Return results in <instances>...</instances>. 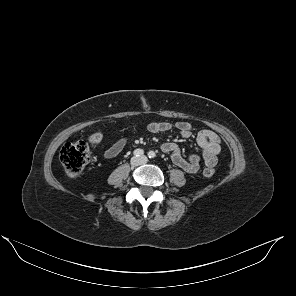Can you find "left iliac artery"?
<instances>
[{
  "mask_svg": "<svg viewBox=\"0 0 296 296\" xmlns=\"http://www.w3.org/2000/svg\"><path fill=\"white\" fill-rule=\"evenodd\" d=\"M155 156H156L155 152H153V151L148 152L149 158H154Z\"/></svg>",
  "mask_w": 296,
  "mask_h": 296,
  "instance_id": "44dca946",
  "label": "left iliac artery"
}]
</instances>
